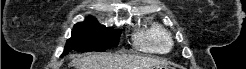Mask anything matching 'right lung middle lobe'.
<instances>
[{
  "instance_id": "1",
  "label": "right lung middle lobe",
  "mask_w": 246,
  "mask_h": 69,
  "mask_svg": "<svg viewBox=\"0 0 246 69\" xmlns=\"http://www.w3.org/2000/svg\"><path fill=\"white\" fill-rule=\"evenodd\" d=\"M121 30H113L96 21L77 23L72 37L67 40L62 56L75 50L78 52L105 51L119 43Z\"/></svg>"
}]
</instances>
